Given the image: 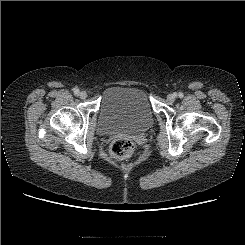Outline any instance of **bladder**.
I'll return each instance as SVG.
<instances>
[{"mask_svg": "<svg viewBox=\"0 0 245 245\" xmlns=\"http://www.w3.org/2000/svg\"><path fill=\"white\" fill-rule=\"evenodd\" d=\"M153 121L150 100L143 88L116 85L106 90L100 108L102 133L142 132Z\"/></svg>", "mask_w": 245, "mask_h": 245, "instance_id": "obj_1", "label": "bladder"}]
</instances>
